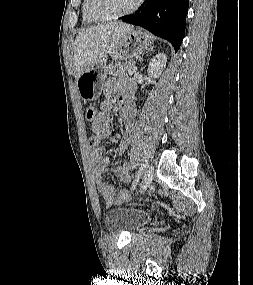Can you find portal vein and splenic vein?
<instances>
[{
    "label": "portal vein and splenic vein",
    "instance_id": "1",
    "mask_svg": "<svg viewBox=\"0 0 253 285\" xmlns=\"http://www.w3.org/2000/svg\"><path fill=\"white\" fill-rule=\"evenodd\" d=\"M137 70L136 66H133L130 70H129V75H132L133 73H135V71Z\"/></svg>",
    "mask_w": 253,
    "mask_h": 285
}]
</instances>
